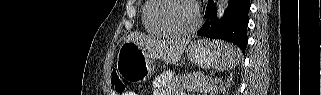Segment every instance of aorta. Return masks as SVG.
Masks as SVG:
<instances>
[{"label":"aorta","instance_id":"obj_1","mask_svg":"<svg viewBox=\"0 0 321 95\" xmlns=\"http://www.w3.org/2000/svg\"><path fill=\"white\" fill-rule=\"evenodd\" d=\"M229 0H218L217 2V19H221L228 7Z\"/></svg>","mask_w":321,"mask_h":95}]
</instances>
